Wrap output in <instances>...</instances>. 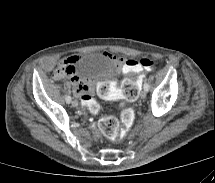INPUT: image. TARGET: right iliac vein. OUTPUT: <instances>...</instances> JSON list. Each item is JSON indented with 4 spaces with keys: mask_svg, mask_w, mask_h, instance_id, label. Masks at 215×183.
<instances>
[{
    "mask_svg": "<svg viewBox=\"0 0 215 183\" xmlns=\"http://www.w3.org/2000/svg\"><path fill=\"white\" fill-rule=\"evenodd\" d=\"M72 106H73V107H77V106H78V102H77L76 100H73V101H72Z\"/></svg>",
    "mask_w": 215,
    "mask_h": 183,
    "instance_id": "obj_1",
    "label": "right iliac vein"
}]
</instances>
